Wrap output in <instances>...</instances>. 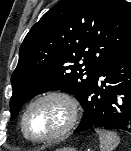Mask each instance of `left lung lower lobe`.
Instances as JSON below:
<instances>
[{"label": "left lung lower lobe", "instance_id": "obj_1", "mask_svg": "<svg viewBox=\"0 0 131 151\" xmlns=\"http://www.w3.org/2000/svg\"><path fill=\"white\" fill-rule=\"evenodd\" d=\"M83 109L74 133L94 127L131 133V43L111 54L100 66Z\"/></svg>", "mask_w": 131, "mask_h": 151}]
</instances>
